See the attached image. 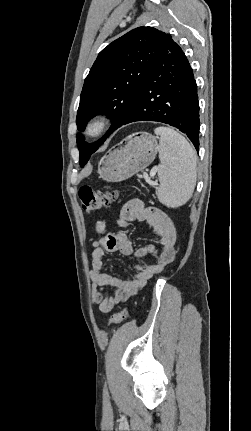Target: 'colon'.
I'll return each mask as SVG.
<instances>
[{
    "instance_id": "5ec220e1",
    "label": "colon",
    "mask_w": 251,
    "mask_h": 431,
    "mask_svg": "<svg viewBox=\"0 0 251 431\" xmlns=\"http://www.w3.org/2000/svg\"><path fill=\"white\" fill-rule=\"evenodd\" d=\"M119 196V191L106 187L103 190H94L90 186H82L79 189V198L82 208L86 213H93L103 207H107ZM128 315V309L122 307L109 320V325L121 323Z\"/></svg>"
}]
</instances>
